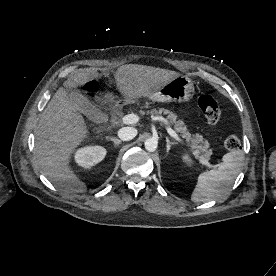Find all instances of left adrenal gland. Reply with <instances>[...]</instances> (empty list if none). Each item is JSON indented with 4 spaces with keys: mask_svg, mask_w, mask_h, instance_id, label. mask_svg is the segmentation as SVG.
<instances>
[{
    "mask_svg": "<svg viewBox=\"0 0 276 276\" xmlns=\"http://www.w3.org/2000/svg\"><path fill=\"white\" fill-rule=\"evenodd\" d=\"M166 143H167V153H169L171 147L176 144V142H171L168 137H166Z\"/></svg>",
    "mask_w": 276,
    "mask_h": 276,
    "instance_id": "a2214340",
    "label": "left adrenal gland"
}]
</instances>
